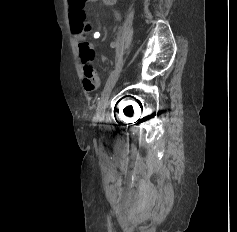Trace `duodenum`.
Listing matches in <instances>:
<instances>
[{
    "instance_id": "410a0bca",
    "label": "duodenum",
    "mask_w": 237,
    "mask_h": 232,
    "mask_svg": "<svg viewBox=\"0 0 237 232\" xmlns=\"http://www.w3.org/2000/svg\"><path fill=\"white\" fill-rule=\"evenodd\" d=\"M117 0H103V2L106 4V5H113L116 3Z\"/></svg>"
}]
</instances>
